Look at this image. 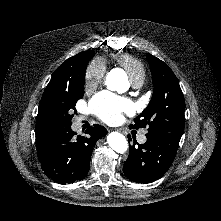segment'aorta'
I'll use <instances>...</instances> for the list:
<instances>
[{"instance_id": "aorta-1", "label": "aorta", "mask_w": 221, "mask_h": 221, "mask_svg": "<svg viewBox=\"0 0 221 221\" xmlns=\"http://www.w3.org/2000/svg\"><path fill=\"white\" fill-rule=\"evenodd\" d=\"M127 83L123 71L112 70L106 77V85L109 90L118 91ZM109 146L117 153L123 154L128 149V142L125 136L119 132H111L107 136Z\"/></svg>"}]
</instances>
